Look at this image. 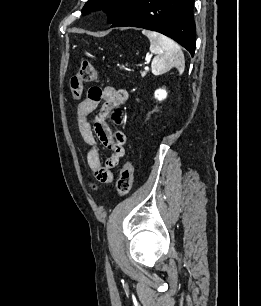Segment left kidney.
Wrapping results in <instances>:
<instances>
[{
    "mask_svg": "<svg viewBox=\"0 0 261 306\" xmlns=\"http://www.w3.org/2000/svg\"><path fill=\"white\" fill-rule=\"evenodd\" d=\"M167 96V92L164 89H158L155 91V98L159 101H162Z\"/></svg>",
    "mask_w": 261,
    "mask_h": 306,
    "instance_id": "1",
    "label": "left kidney"
}]
</instances>
